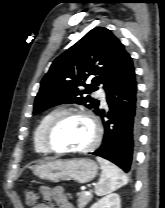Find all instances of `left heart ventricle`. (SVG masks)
<instances>
[{
	"label": "left heart ventricle",
	"mask_w": 165,
	"mask_h": 208,
	"mask_svg": "<svg viewBox=\"0 0 165 208\" xmlns=\"http://www.w3.org/2000/svg\"><path fill=\"white\" fill-rule=\"evenodd\" d=\"M92 138L93 128L87 119L70 117L52 132L51 142L59 149H79L87 146Z\"/></svg>",
	"instance_id": "obj_1"
}]
</instances>
